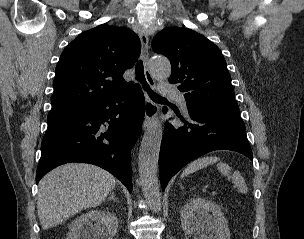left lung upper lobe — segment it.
Wrapping results in <instances>:
<instances>
[{
    "instance_id": "left-lung-upper-lobe-1",
    "label": "left lung upper lobe",
    "mask_w": 304,
    "mask_h": 239,
    "mask_svg": "<svg viewBox=\"0 0 304 239\" xmlns=\"http://www.w3.org/2000/svg\"><path fill=\"white\" fill-rule=\"evenodd\" d=\"M152 48L170 60L169 82L179 85L189 111L239 116L225 59L210 40L188 28L167 27Z\"/></svg>"
}]
</instances>
